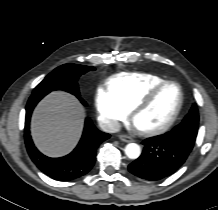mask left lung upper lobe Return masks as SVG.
<instances>
[{
    "label": "left lung upper lobe",
    "instance_id": "obj_1",
    "mask_svg": "<svg viewBox=\"0 0 218 210\" xmlns=\"http://www.w3.org/2000/svg\"><path fill=\"white\" fill-rule=\"evenodd\" d=\"M198 122H199V115H198L197 105L193 104L190 112L186 115L182 123L176 126L171 132H168V135H174L178 132H181L180 130L177 129L178 127L182 129H185V127H187L188 131L191 132L188 135L191 136L192 139L195 141L198 131Z\"/></svg>",
    "mask_w": 218,
    "mask_h": 210
}]
</instances>
